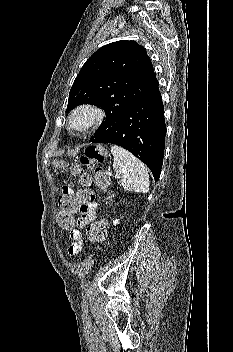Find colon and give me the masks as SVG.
Instances as JSON below:
<instances>
[{
	"mask_svg": "<svg viewBox=\"0 0 233 352\" xmlns=\"http://www.w3.org/2000/svg\"><path fill=\"white\" fill-rule=\"evenodd\" d=\"M106 159V151L102 146L94 145L86 148L78 162L72 169V174L79 178L81 185H88L90 182L89 175L85 168L96 166L94 172V181L96 186L106 191L110 177L107 171L101 166ZM93 194L85 189H80L76 197L63 196L59 200L60 211L57 215V223L63 230H72L75 225L74 214L79 207H85L91 200ZM108 221L101 219L92 223L87 228V237L89 241L97 244H104L107 238Z\"/></svg>",
	"mask_w": 233,
	"mask_h": 352,
	"instance_id": "colon-1",
	"label": "colon"
}]
</instances>
